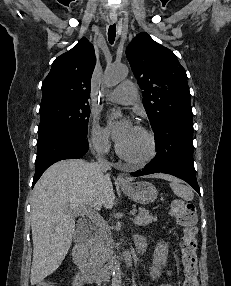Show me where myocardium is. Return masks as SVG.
<instances>
[{
	"label": "myocardium",
	"instance_id": "myocardium-1",
	"mask_svg": "<svg viewBox=\"0 0 231 286\" xmlns=\"http://www.w3.org/2000/svg\"><path fill=\"white\" fill-rule=\"evenodd\" d=\"M135 128L138 131H140L142 134H144L146 136V138L148 139V142H149L148 152L140 158H133V157L126 155L122 151L119 144L116 146V152H117L118 156L120 158H122L123 160H125L126 162H128L132 165L142 166V165L148 163L149 161H151L155 157V155L157 153V142H156V138H155L154 133L152 131H150L149 129H147L143 126H136Z\"/></svg>",
	"mask_w": 231,
	"mask_h": 286
}]
</instances>
